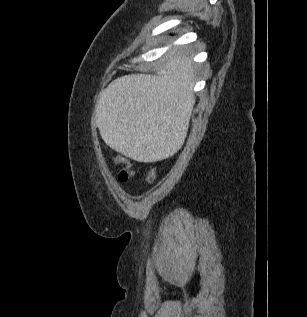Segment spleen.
Returning a JSON list of instances; mask_svg holds the SVG:
<instances>
[{"instance_id": "spleen-1", "label": "spleen", "mask_w": 307, "mask_h": 317, "mask_svg": "<svg viewBox=\"0 0 307 317\" xmlns=\"http://www.w3.org/2000/svg\"><path fill=\"white\" fill-rule=\"evenodd\" d=\"M193 77L181 65L165 77L128 75L113 81L97 107L102 139L134 160L177 155L193 109Z\"/></svg>"}]
</instances>
